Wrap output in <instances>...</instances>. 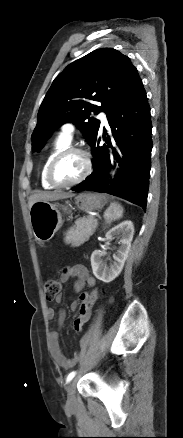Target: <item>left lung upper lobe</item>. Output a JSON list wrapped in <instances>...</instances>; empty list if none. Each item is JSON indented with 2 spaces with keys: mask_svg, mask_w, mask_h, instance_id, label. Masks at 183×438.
<instances>
[{
  "mask_svg": "<svg viewBox=\"0 0 183 438\" xmlns=\"http://www.w3.org/2000/svg\"><path fill=\"white\" fill-rule=\"evenodd\" d=\"M137 77L130 59L112 48L94 50L69 64L55 78L40 106L31 136L33 148L39 152L52 132L66 122L75 123L91 144L100 127L91 112L108 113Z\"/></svg>",
  "mask_w": 183,
  "mask_h": 438,
  "instance_id": "obj_1",
  "label": "left lung upper lobe"
}]
</instances>
